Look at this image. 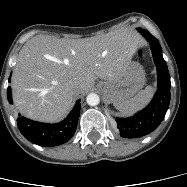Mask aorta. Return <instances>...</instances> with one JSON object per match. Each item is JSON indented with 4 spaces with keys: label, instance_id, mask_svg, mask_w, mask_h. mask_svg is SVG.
Wrapping results in <instances>:
<instances>
[{
    "label": "aorta",
    "instance_id": "1",
    "mask_svg": "<svg viewBox=\"0 0 187 187\" xmlns=\"http://www.w3.org/2000/svg\"><path fill=\"white\" fill-rule=\"evenodd\" d=\"M86 101L89 106H96L100 103V97L95 93H90L88 94Z\"/></svg>",
    "mask_w": 187,
    "mask_h": 187
}]
</instances>
